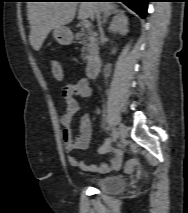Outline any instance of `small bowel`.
I'll return each mask as SVG.
<instances>
[{
  "mask_svg": "<svg viewBox=\"0 0 188 213\" xmlns=\"http://www.w3.org/2000/svg\"><path fill=\"white\" fill-rule=\"evenodd\" d=\"M62 96L66 102V109L60 115V123L63 126L62 141L66 153L69 154L68 162L71 166L80 168L85 171L107 173L112 170H119L122 167L123 157L120 151L113 150L112 140L107 139L99 148L100 154H110V161L101 165L87 164L78 160L71 153L77 150H85L89 146V137L92 130L91 116L84 113L80 116L79 130L74 137L71 131V123L74 115L79 110L77 97L92 98L94 96L93 89L89 86L87 79L81 78L75 83L67 84L62 89Z\"/></svg>",
  "mask_w": 188,
  "mask_h": 213,
  "instance_id": "c3829d8e",
  "label": "small bowel"
}]
</instances>
